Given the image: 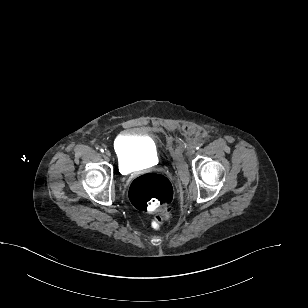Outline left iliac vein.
I'll use <instances>...</instances> for the list:
<instances>
[{
    "instance_id": "4c4485c4",
    "label": "left iliac vein",
    "mask_w": 308,
    "mask_h": 308,
    "mask_svg": "<svg viewBox=\"0 0 308 308\" xmlns=\"http://www.w3.org/2000/svg\"><path fill=\"white\" fill-rule=\"evenodd\" d=\"M195 150H196L195 145H193V144H188V146H187V153H188L189 155L194 154V153H195Z\"/></svg>"
}]
</instances>
